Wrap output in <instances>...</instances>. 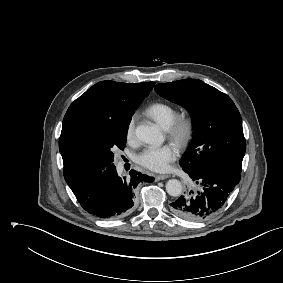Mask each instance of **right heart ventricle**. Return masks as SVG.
<instances>
[{
	"label": "right heart ventricle",
	"mask_w": 283,
	"mask_h": 283,
	"mask_svg": "<svg viewBox=\"0 0 283 283\" xmlns=\"http://www.w3.org/2000/svg\"><path fill=\"white\" fill-rule=\"evenodd\" d=\"M145 113L164 129H168L178 116L177 109L166 102H155L149 105Z\"/></svg>",
	"instance_id": "right-heart-ventricle-1"
}]
</instances>
